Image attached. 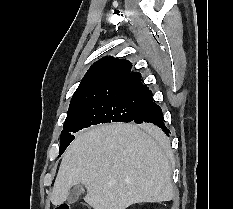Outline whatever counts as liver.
<instances>
[{
  "mask_svg": "<svg viewBox=\"0 0 233 209\" xmlns=\"http://www.w3.org/2000/svg\"><path fill=\"white\" fill-rule=\"evenodd\" d=\"M157 128L111 123L81 133L66 150L53 186L51 202L66 201L70 189L83 184L93 209H126L135 203L173 198L170 163L151 137Z\"/></svg>",
  "mask_w": 233,
  "mask_h": 209,
  "instance_id": "liver-1",
  "label": "liver"
}]
</instances>
